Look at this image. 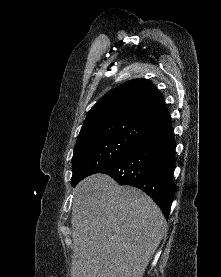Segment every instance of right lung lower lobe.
I'll list each match as a JSON object with an SVG mask.
<instances>
[{
    "mask_svg": "<svg viewBox=\"0 0 221 277\" xmlns=\"http://www.w3.org/2000/svg\"><path fill=\"white\" fill-rule=\"evenodd\" d=\"M142 135L128 153L99 173L143 190L168 219L174 197L175 140L166 105L144 115ZM74 186V185H73Z\"/></svg>",
    "mask_w": 221,
    "mask_h": 277,
    "instance_id": "98d812e1",
    "label": "right lung lower lobe"
}]
</instances>
